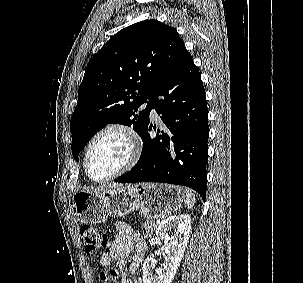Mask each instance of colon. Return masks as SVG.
Here are the masks:
<instances>
[{"instance_id": "colon-1", "label": "colon", "mask_w": 303, "mask_h": 283, "mask_svg": "<svg viewBox=\"0 0 303 283\" xmlns=\"http://www.w3.org/2000/svg\"><path fill=\"white\" fill-rule=\"evenodd\" d=\"M81 237L84 248L89 254H96L101 248L109 242V235L105 230L96 228L92 225H86L82 228ZM118 272L115 269H107L101 273L102 283H114Z\"/></svg>"}]
</instances>
